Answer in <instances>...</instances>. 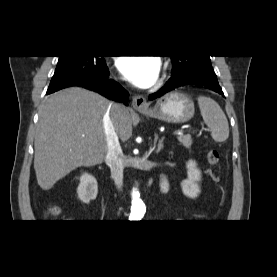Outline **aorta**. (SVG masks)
<instances>
[{"label": "aorta", "mask_w": 277, "mask_h": 277, "mask_svg": "<svg viewBox=\"0 0 277 277\" xmlns=\"http://www.w3.org/2000/svg\"><path fill=\"white\" fill-rule=\"evenodd\" d=\"M131 196H132V205H131L130 219L140 220L144 216L146 211L145 204L140 199V193L137 189H133Z\"/></svg>", "instance_id": "762f6f07"}]
</instances>
